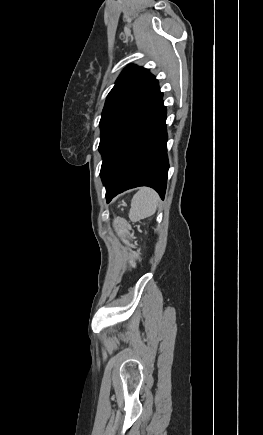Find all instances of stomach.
I'll use <instances>...</instances> for the list:
<instances>
[{"instance_id": "1", "label": "stomach", "mask_w": 263, "mask_h": 435, "mask_svg": "<svg viewBox=\"0 0 263 435\" xmlns=\"http://www.w3.org/2000/svg\"><path fill=\"white\" fill-rule=\"evenodd\" d=\"M110 223L113 225V233H132V224L129 223L128 216H111ZM121 246L127 247L128 251H133L135 246V239L131 238L130 234H125L121 239ZM127 287L133 286L132 280L126 281Z\"/></svg>"}]
</instances>
